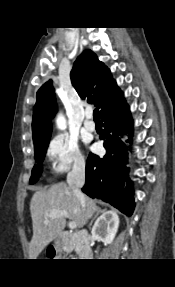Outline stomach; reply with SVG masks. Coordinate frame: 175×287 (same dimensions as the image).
Listing matches in <instances>:
<instances>
[{
  "mask_svg": "<svg viewBox=\"0 0 175 287\" xmlns=\"http://www.w3.org/2000/svg\"><path fill=\"white\" fill-rule=\"evenodd\" d=\"M56 246H60V240L55 241Z\"/></svg>",
  "mask_w": 175,
  "mask_h": 287,
  "instance_id": "obj_1",
  "label": "stomach"
}]
</instances>
